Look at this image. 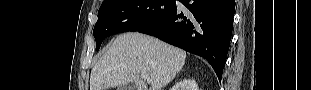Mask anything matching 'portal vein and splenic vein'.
<instances>
[{
    "label": "portal vein and splenic vein",
    "instance_id": "18ae733b",
    "mask_svg": "<svg viewBox=\"0 0 311 90\" xmlns=\"http://www.w3.org/2000/svg\"><path fill=\"white\" fill-rule=\"evenodd\" d=\"M141 77L144 79V80H147V81H150V78L147 74H141Z\"/></svg>",
    "mask_w": 311,
    "mask_h": 90
}]
</instances>
